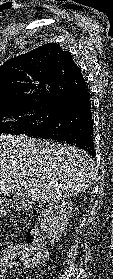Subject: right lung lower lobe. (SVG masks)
Segmentation results:
<instances>
[{
    "instance_id": "98d812e1",
    "label": "right lung lower lobe",
    "mask_w": 113,
    "mask_h": 279,
    "mask_svg": "<svg viewBox=\"0 0 113 279\" xmlns=\"http://www.w3.org/2000/svg\"><path fill=\"white\" fill-rule=\"evenodd\" d=\"M25 134L74 145L94 156L93 120L88 86L81 90L73 102L61 108L56 120Z\"/></svg>"
}]
</instances>
